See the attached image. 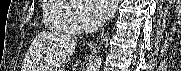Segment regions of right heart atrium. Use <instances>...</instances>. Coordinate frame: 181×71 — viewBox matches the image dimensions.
Returning a JSON list of instances; mask_svg holds the SVG:
<instances>
[{"mask_svg": "<svg viewBox=\"0 0 181 71\" xmlns=\"http://www.w3.org/2000/svg\"><path fill=\"white\" fill-rule=\"evenodd\" d=\"M71 7L67 13V21L71 33H83L94 25V20L81 0H58Z\"/></svg>", "mask_w": 181, "mask_h": 71, "instance_id": "obj_1", "label": "right heart atrium"}]
</instances>
